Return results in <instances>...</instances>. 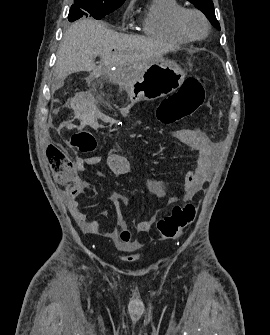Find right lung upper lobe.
Listing matches in <instances>:
<instances>
[{"mask_svg":"<svg viewBox=\"0 0 270 335\" xmlns=\"http://www.w3.org/2000/svg\"><path fill=\"white\" fill-rule=\"evenodd\" d=\"M103 1L112 3H123L125 0H103Z\"/></svg>","mask_w":270,"mask_h":335,"instance_id":"1","label":"right lung upper lobe"}]
</instances>
